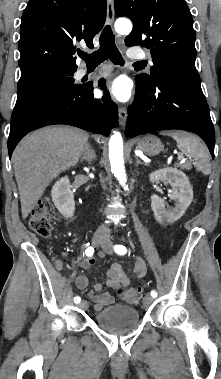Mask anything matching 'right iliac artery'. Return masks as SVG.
<instances>
[{
    "label": "right iliac artery",
    "mask_w": 221,
    "mask_h": 379,
    "mask_svg": "<svg viewBox=\"0 0 221 379\" xmlns=\"http://www.w3.org/2000/svg\"><path fill=\"white\" fill-rule=\"evenodd\" d=\"M93 253H94V248L93 247L89 246V247L86 248L85 254L87 256H92ZM80 301H81V298L79 296L74 297V302L75 303H80Z\"/></svg>",
    "instance_id": "1"
}]
</instances>
